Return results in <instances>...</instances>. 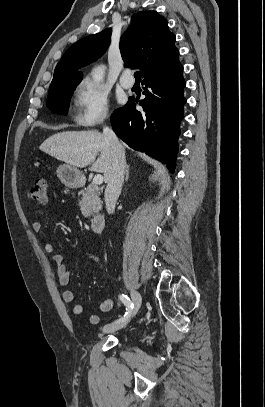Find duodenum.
<instances>
[{"instance_id": "1", "label": "duodenum", "mask_w": 265, "mask_h": 407, "mask_svg": "<svg viewBox=\"0 0 265 407\" xmlns=\"http://www.w3.org/2000/svg\"><path fill=\"white\" fill-rule=\"evenodd\" d=\"M105 227V217L102 214H94L91 217V229L94 233H102Z\"/></svg>"}]
</instances>
